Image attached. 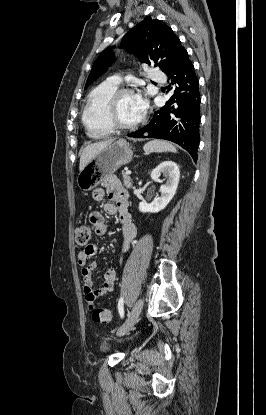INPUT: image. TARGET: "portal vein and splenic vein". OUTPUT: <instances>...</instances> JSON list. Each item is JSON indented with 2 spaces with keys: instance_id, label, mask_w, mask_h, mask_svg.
<instances>
[{
  "instance_id": "portal-vein-and-splenic-vein-1",
  "label": "portal vein and splenic vein",
  "mask_w": 266,
  "mask_h": 415,
  "mask_svg": "<svg viewBox=\"0 0 266 415\" xmlns=\"http://www.w3.org/2000/svg\"><path fill=\"white\" fill-rule=\"evenodd\" d=\"M126 174H131V171L130 170H126Z\"/></svg>"
}]
</instances>
